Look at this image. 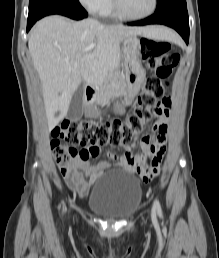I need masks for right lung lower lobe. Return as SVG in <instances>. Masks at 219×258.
<instances>
[{
    "label": "right lung lower lobe",
    "mask_w": 219,
    "mask_h": 258,
    "mask_svg": "<svg viewBox=\"0 0 219 258\" xmlns=\"http://www.w3.org/2000/svg\"><path fill=\"white\" fill-rule=\"evenodd\" d=\"M52 14L67 16L75 20H81L88 16L77 0H58L42 6L34 13L28 15L27 32L37 20Z\"/></svg>",
    "instance_id": "right-lung-lower-lobe-1"
}]
</instances>
